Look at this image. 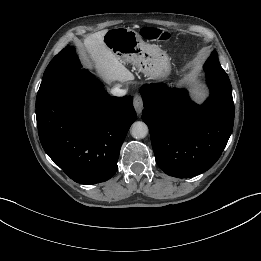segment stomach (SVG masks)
Returning <instances> with one entry per match:
<instances>
[{
	"mask_svg": "<svg viewBox=\"0 0 261 261\" xmlns=\"http://www.w3.org/2000/svg\"><path fill=\"white\" fill-rule=\"evenodd\" d=\"M103 42L122 63L134 65L145 77L165 80L171 73L167 54L158 46L145 43L133 29L111 28L104 35Z\"/></svg>",
	"mask_w": 261,
	"mask_h": 261,
	"instance_id": "stomach-1",
	"label": "stomach"
}]
</instances>
